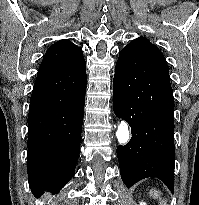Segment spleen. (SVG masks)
<instances>
[{
    "label": "spleen",
    "instance_id": "spleen-1",
    "mask_svg": "<svg viewBox=\"0 0 199 205\" xmlns=\"http://www.w3.org/2000/svg\"><path fill=\"white\" fill-rule=\"evenodd\" d=\"M150 195L153 197V198H160V192L158 190H151L150 191ZM159 205H167L166 204V201L164 200H161Z\"/></svg>",
    "mask_w": 199,
    "mask_h": 205
}]
</instances>
